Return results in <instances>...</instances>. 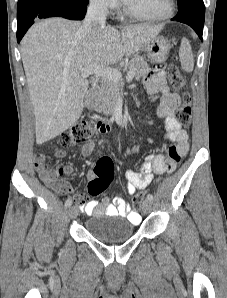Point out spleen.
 Returning <instances> with one entry per match:
<instances>
[{"label": "spleen", "instance_id": "obj_1", "mask_svg": "<svg viewBox=\"0 0 227 298\" xmlns=\"http://www.w3.org/2000/svg\"><path fill=\"white\" fill-rule=\"evenodd\" d=\"M179 57L182 69L186 72H192L194 68V56L190 42L185 37L181 41Z\"/></svg>", "mask_w": 227, "mask_h": 298}]
</instances>
